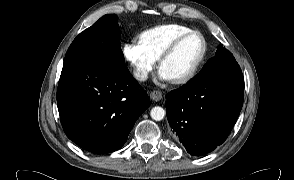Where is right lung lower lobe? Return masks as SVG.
Instances as JSON below:
<instances>
[{
	"mask_svg": "<svg viewBox=\"0 0 294 180\" xmlns=\"http://www.w3.org/2000/svg\"><path fill=\"white\" fill-rule=\"evenodd\" d=\"M57 105L67 137L103 154L124 145L150 101L124 65L87 62L61 72Z\"/></svg>",
	"mask_w": 294,
	"mask_h": 180,
	"instance_id": "98d812e1",
	"label": "right lung lower lobe"
}]
</instances>
